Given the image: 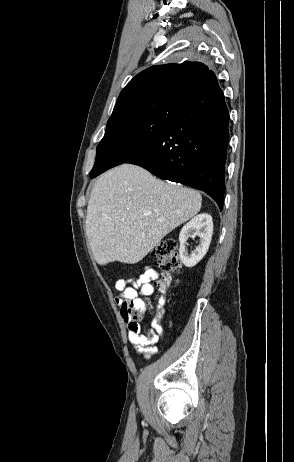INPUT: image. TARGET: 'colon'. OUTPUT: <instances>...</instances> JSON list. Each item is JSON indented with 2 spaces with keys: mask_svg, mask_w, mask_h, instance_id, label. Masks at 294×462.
I'll return each mask as SVG.
<instances>
[{
  "mask_svg": "<svg viewBox=\"0 0 294 462\" xmlns=\"http://www.w3.org/2000/svg\"><path fill=\"white\" fill-rule=\"evenodd\" d=\"M151 256L154 258L156 266L161 270V278L155 281L154 285L159 291L164 292L174 284L173 276L181 266L176 242L172 239L160 242L151 250ZM130 312L133 319L137 321L143 318V314L137 308L131 307Z\"/></svg>",
  "mask_w": 294,
  "mask_h": 462,
  "instance_id": "obj_1",
  "label": "colon"
}]
</instances>
